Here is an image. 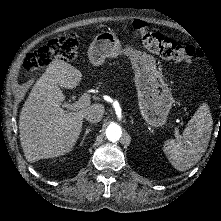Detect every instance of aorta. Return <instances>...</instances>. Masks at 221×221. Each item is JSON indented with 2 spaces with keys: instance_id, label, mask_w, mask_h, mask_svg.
Instances as JSON below:
<instances>
[{
  "instance_id": "aorta-1",
  "label": "aorta",
  "mask_w": 221,
  "mask_h": 221,
  "mask_svg": "<svg viewBox=\"0 0 221 221\" xmlns=\"http://www.w3.org/2000/svg\"><path fill=\"white\" fill-rule=\"evenodd\" d=\"M122 136V129L121 127L116 124H110L106 129V137L111 142H117Z\"/></svg>"
}]
</instances>
